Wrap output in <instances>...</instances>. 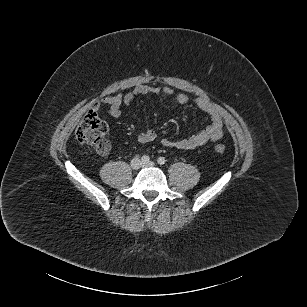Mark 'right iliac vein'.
I'll use <instances>...</instances> for the list:
<instances>
[{"mask_svg":"<svg viewBox=\"0 0 307 307\" xmlns=\"http://www.w3.org/2000/svg\"><path fill=\"white\" fill-rule=\"evenodd\" d=\"M142 166V162L140 161V159L135 158L131 161V168L134 170L139 169Z\"/></svg>","mask_w":307,"mask_h":307,"instance_id":"1","label":"right iliac vein"}]
</instances>
